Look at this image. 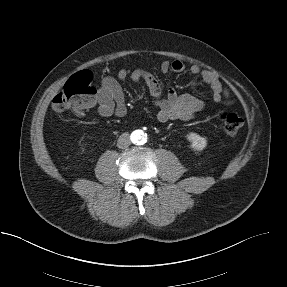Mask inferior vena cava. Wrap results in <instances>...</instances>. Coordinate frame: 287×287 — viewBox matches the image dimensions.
Instances as JSON below:
<instances>
[{"instance_id":"602c4592","label":"inferior vena cava","mask_w":287,"mask_h":287,"mask_svg":"<svg viewBox=\"0 0 287 287\" xmlns=\"http://www.w3.org/2000/svg\"><path fill=\"white\" fill-rule=\"evenodd\" d=\"M131 140L129 134L123 133L119 136L117 141V147L120 149H126L130 146Z\"/></svg>"}]
</instances>
